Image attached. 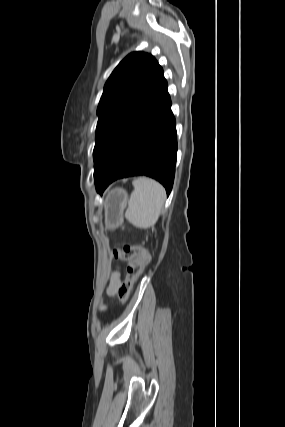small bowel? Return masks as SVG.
Segmentation results:
<instances>
[{
	"label": "small bowel",
	"instance_id": "obj_1",
	"mask_svg": "<svg viewBox=\"0 0 285 427\" xmlns=\"http://www.w3.org/2000/svg\"><path fill=\"white\" fill-rule=\"evenodd\" d=\"M120 283V273L118 270H116L111 275L109 286L107 288V294L110 296H115L117 294ZM101 309H105L103 304L101 305Z\"/></svg>",
	"mask_w": 285,
	"mask_h": 427
}]
</instances>
